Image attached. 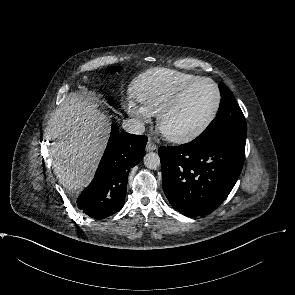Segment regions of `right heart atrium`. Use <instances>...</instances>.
Segmentation results:
<instances>
[{"mask_svg":"<svg viewBox=\"0 0 295 295\" xmlns=\"http://www.w3.org/2000/svg\"><path fill=\"white\" fill-rule=\"evenodd\" d=\"M128 111L130 114L138 118L141 123H147L152 116L144 105L139 104L132 99L128 101Z\"/></svg>","mask_w":295,"mask_h":295,"instance_id":"obj_1","label":"right heart atrium"}]
</instances>
